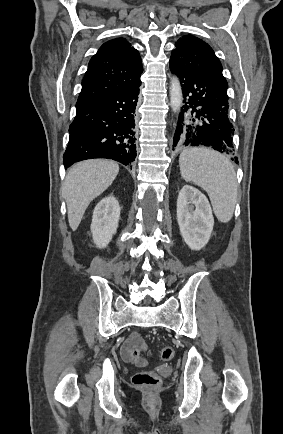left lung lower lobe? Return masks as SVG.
<instances>
[{"instance_id": "1", "label": "left lung lower lobe", "mask_w": 283, "mask_h": 434, "mask_svg": "<svg viewBox=\"0 0 283 434\" xmlns=\"http://www.w3.org/2000/svg\"><path fill=\"white\" fill-rule=\"evenodd\" d=\"M169 66L182 84L184 104L173 144L207 146L221 153H231L234 129L228 119L227 88L172 61ZM232 160L238 162L237 157Z\"/></svg>"}]
</instances>
